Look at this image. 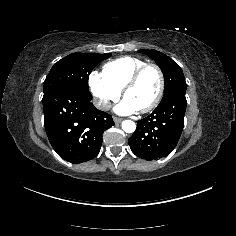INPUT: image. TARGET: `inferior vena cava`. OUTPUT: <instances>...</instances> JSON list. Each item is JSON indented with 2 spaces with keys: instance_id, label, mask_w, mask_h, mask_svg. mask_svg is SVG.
<instances>
[{
  "instance_id": "obj_1",
  "label": "inferior vena cava",
  "mask_w": 236,
  "mask_h": 236,
  "mask_svg": "<svg viewBox=\"0 0 236 236\" xmlns=\"http://www.w3.org/2000/svg\"><path fill=\"white\" fill-rule=\"evenodd\" d=\"M93 104L97 109L103 110V111H107L111 108L110 102L107 99L94 97Z\"/></svg>"
}]
</instances>
